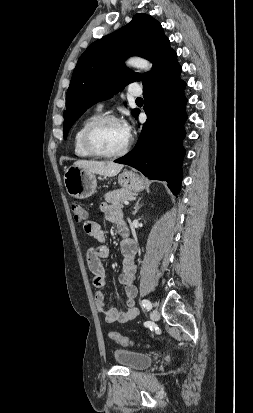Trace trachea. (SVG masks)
<instances>
[{
	"label": "trachea",
	"mask_w": 253,
	"mask_h": 413,
	"mask_svg": "<svg viewBox=\"0 0 253 413\" xmlns=\"http://www.w3.org/2000/svg\"><path fill=\"white\" fill-rule=\"evenodd\" d=\"M136 102H143V99L142 98H137Z\"/></svg>",
	"instance_id": "3493384b"
}]
</instances>
